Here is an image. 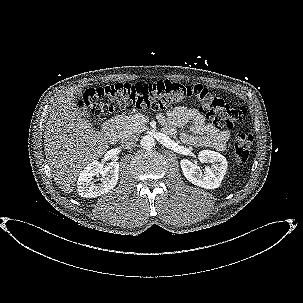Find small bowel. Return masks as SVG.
Here are the masks:
<instances>
[{
	"mask_svg": "<svg viewBox=\"0 0 303 303\" xmlns=\"http://www.w3.org/2000/svg\"><path fill=\"white\" fill-rule=\"evenodd\" d=\"M158 121L164 126L168 135H174L178 127L191 124L192 133L182 132L181 140L188 145L210 147L225 151L230 133L214 123L206 122L205 117L195 108L186 104L174 106L165 114L158 116Z\"/></svg>",
	"mask_w": 303,
	"mask_h": 303,
	"instance_id": "obj_1",
	"label": "small bowel"
}]
</instances>
